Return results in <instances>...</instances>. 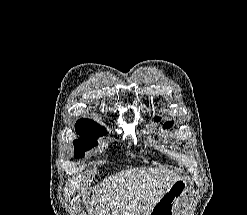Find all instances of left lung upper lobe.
Listing matches in <instances>:
<instances>
[{
  "mask_svg": "<svg viewBox=\"0 0 247 215\" xmlns=\"http://www.w3.org/2000/svg\"><path fill=\"white\" fill-rule=\"evenodd\" d=\"M155 121H160V118L159 117H155ZM173 124V121H168L164 124V129L166 128H170L171 125Z\"/></svg>",
  "mask_w": 247,
  "mask_h": 215,
  "instance_id": "5c2ea615",
  "label": "left lung upper lobe"
}]
</instances>
